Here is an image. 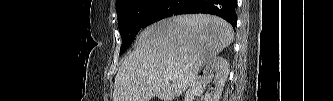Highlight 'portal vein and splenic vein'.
I'll return each instance as SVG.
<instances>
[{"label":"portal vein and splenic vein","mask_w":333,"mask_h":101,"mask_svg":"<svg viewBox=\"0 0 333 101\" xmlns=\"http://www.w3.org/2000/svg\"><path fill=\"white\" fill-rule=\"evenodd\" d=\"M167 77H168V79H172L173 75L169 74Z\"/></svg>","instance_id":"portal-vein-and-splenic-vein-1"}]
</instances>
